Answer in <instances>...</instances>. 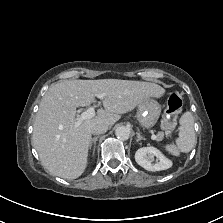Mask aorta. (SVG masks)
<instances>
[{"label": "aorta", "mask_w": 223, "mask_h": 223, "mask_svg": "<svg viewBox=\"0 0 223 223\" xmlns=\"http://www.w3.org/2000/svg\"><path fill=\"white\" fill-rule=\"evenodd\" d=\"M118 140L126 141L129 139L131 134V129L128 126H120L115 131Z\"/></svg>", "instance_id": "762f6f07"}]
</instances>
